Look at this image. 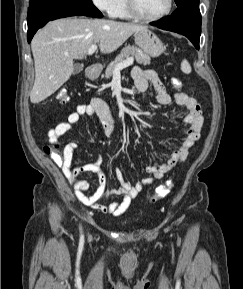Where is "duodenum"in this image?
Masks as SVG:
<instances>
[{"instance_id": "duodenum-1", "label": "duodenum", "mask_w": 243, "mask_h": 289, "mask_svg": "<svg viewBox=\"0 0 243 289\" xmlns=\"http://www.w3.org/2000/svg\"><path fill=\"white\" fill-rule=\"evenodd\" d=\"M99 72V67L96 65H92L87 69V74L89 77H94L98 74Z\"/></svg>"}]
</instances>
